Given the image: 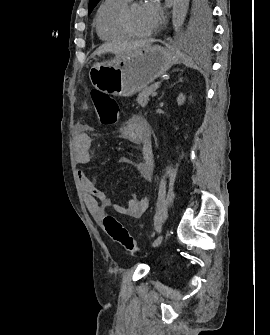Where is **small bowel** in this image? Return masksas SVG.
Listing matches in <instances>:
<instances>
[{
    "label": "small bowel",
    "instance_id": "1",
    "mask_svg": "<svg viewBox=\"0 0 270 335\" xmlns=\"http://www.w3.org/2000/svg\"><path fill=\"white\" fill-rule=\"evenodd\" d=\"M121 137L142 149V158L133 161L125 158L124 161L132 165L138 177L151 180L153 177L154 162L150 148V127L147 121L137 118L127 122L121 128ZM74 138L76 144V161L81 165H87L91 162L92 157L90 148L92 138L89 135V127L83 124H77L74 128ZM77 176L82 190L85 193V203L92 217L100 220L104 215V208L114 205L117 213L131 217H141L148 208L147 198H138L133 195L124 202L114 203L113 200L99 187L82 170H78Z\"/></svg>",
    "mask_w": 270,
    "mask_h": 335
}]
</instances>
